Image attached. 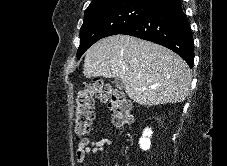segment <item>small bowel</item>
<instances>
[{"instance_id":"small-bowel-1","label":"small bowel","mask_w":227,"mask_h":166,"mask_svg":"<svg viewBox=\"0 0 227 166\" xmlns=\"http://www.w3.org/2000/svg\"><path fill=\"white\" fill-rule=\"evenodd\" d=\"M111 144V140L105 137L98 140H91L89 138L81 139L77 150L78 164L84 166L86 164L87 156L98 155L102 153L105 148L110 147Z\"/></svg>"}]
</instances>
